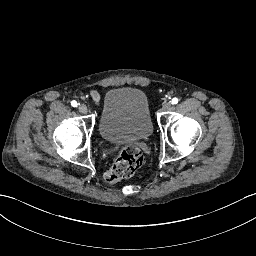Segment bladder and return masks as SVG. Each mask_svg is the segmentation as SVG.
Instances as JSON below:
<instances>
[{
	"mask_svg": "<svg viewBox=\"0 0 256 256\" xmlns=\"http://www.w3.org/2000/svg\"><path fill=\"white\" fill-rule=\"evenodd\" d=\"M151 133L149 105L141 90L118 87L106 92L99 122L102 139L128 144L146 140Z\"/></svg>",
	"mask_w": 256,
	"mask_h": 256,
	"instance_id": "obj_1",
	"label": "bladder"
}]
</instances>
